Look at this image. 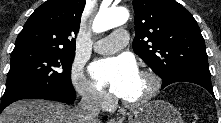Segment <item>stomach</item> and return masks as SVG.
Listing matches in <instances>:
<instances>
[{
	"mask_svg": "<svg viewBox=\"0 0 221 123\" xmlns=\"http://www.w3.org/2000/svg\"><path fill=\"white\" fill-rule=\"evenodd\" d=\"M128 123H182V118L170 103L154 100L134 110L129 116Z\"/></svg>",
	"mask_w": 221,
	"mask_h": 123,
	"instance_id": "0dacf381",
	"label": "stomach"
}]
</instances>
